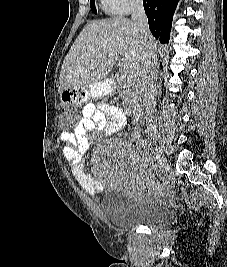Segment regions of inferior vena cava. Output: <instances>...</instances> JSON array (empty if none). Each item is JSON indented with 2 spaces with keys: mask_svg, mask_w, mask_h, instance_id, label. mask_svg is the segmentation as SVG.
I'll use <instances>...</instances> for the list:
<instances>
[{
  "mask_svg": "<svg viewBox=\"0 0 227 267\" xmlns=\"http://www.w3.org/2000/svg\"><path fill=\"white\" fill-rule=\"evenodd\" d=\"M132 21L135 30L139 33L144 45L143 66L138 77V86L146 109L147 132L149 136L157 133L156 117V79H157V55L148 39L151 33L148 27L147 16L144 11L142 0H134L132 5Z\"/></svg>",
  "mask_w": 227,
  "mask_h": 267,
  "instance_id": "1",
  "label": "inferior vena cava"
}]
</instances>
